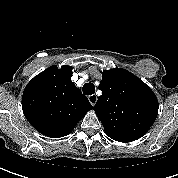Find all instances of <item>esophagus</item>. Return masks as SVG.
Listing matches in <instances>:
<instances>
[{
    "mask_svg": "<svg viewBox=\"0 0 178 178\" xmlns=\"http://www.w3.org/2000/svg\"><path fill=\"white\" fill-rule=\"evenodd\" d=\"M88 100H89V102L91 103V105H95L96 104V102H97V96L96 95H90L89 97H88Z\"/></svg>",
    "mask_w": 178,
    "mask_h": 178,
    "instance_id": "obj_1",
    "label": "esophagus"
}]
</instances>
